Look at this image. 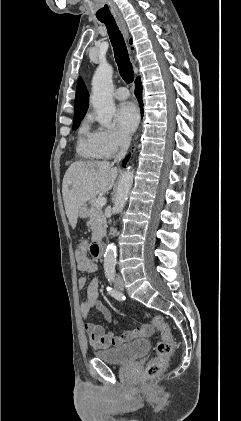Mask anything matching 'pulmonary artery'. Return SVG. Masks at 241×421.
<instances>
[{
  "label": "pulmonary artery",
  "instance_id": "e3ab8cb5",
  "mask_svg": "<svg viewBox=\"0 0 241 421\" xmlns=\"http://www.w3.org/2000/svg\"><path fill=\"white\" fill-rule=\"evenodd\" d=\"M114 97L118 100H125L129 97V91L127 88L125 87H119L115 92H114Z\"/></svg>",
  "mask_w": 241,
  "mask_h": 421
}]
</instances>
